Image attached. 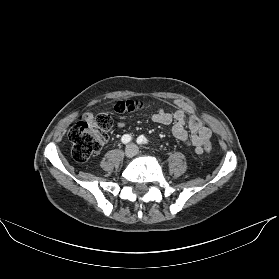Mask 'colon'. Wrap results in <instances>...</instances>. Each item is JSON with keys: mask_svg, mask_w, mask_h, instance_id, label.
Here are the masks:
<instances>
[{"mask_svg": "<svg viewBox=\"0 0 279 279\" xmlns=\"http://www.w3.org/2000/svg\"><path fill=\"white\" fill-rule=\"evenodd\" d=\"M142 107V102L130 99L117 101L113 108L119 113L132 112ZM111 127V118L104 113L98 114L92 120L83 118L75 123L69 131L72 143V156L79 162H86L94 153L101 150L107 141L106 132ZM211 143H205V151H211Z\"/></svg>", "mask_w": 279, "mask_h": 279, "instance_id": "1", "label": "colon"}]
</instances>
